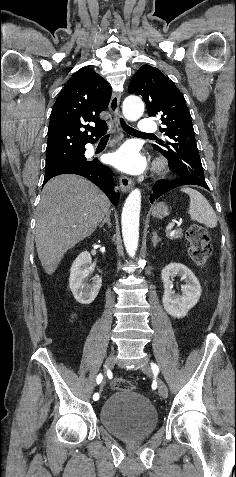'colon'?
<instances>
[{
  "instance_id": "1",
  "label": "colon",
  "mask_w": 236,
  "mask_h": 477,
  "mask_svg": "<svg viewBox=\"0 0 236 477\" xmlns=\"http://www.w3.org/2000/svg\"><path fill=\"white\" fill-rule=\"evenodd\" d=\"M189 243L188 254L191 260L198 266H203L211 254L209 235L205 228L199 225L191 226L186 233ZM110 385L115 390L132 391L134 385L122 378H114Z\"/></svg>"
}]
</instances>
